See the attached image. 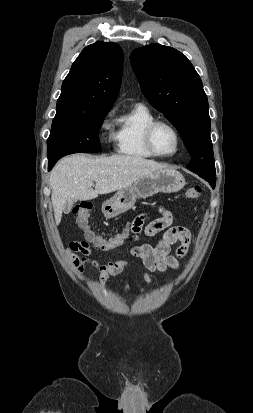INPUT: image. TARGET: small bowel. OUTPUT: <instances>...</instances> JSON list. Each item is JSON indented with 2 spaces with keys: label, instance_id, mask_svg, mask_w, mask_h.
Wrapping results in <instances>:
<instances>
[{
  "label": "small bowel",
  "instance_id": "1",
  "mask_svg": "<svg viewBox=\"0 0 253 413\" xmlns=\"http://www.w3.org/2000/svg\"><path fill=\"white\" fill-rule=\"evenodd\" d=\"M172 222V213L165 208H160V217L152 220L146 226H144V214L137 216L131 225V232L135 238H138L142 231L148 237H153L163 232L156 245L139 244L131 250V254L142 261L146 269L144 278L147 282L151 280L150 273L164 272L169 268L178 269L180 259L188 252L191 242L189 230L182 226H171ZM175 243H179V246L175 254L172 255L171 246ZM77 252L83 256H77L75 254ZM65 253L75 272H83L88 265L93 266L98 271L97 286H103L109 277L120 274L128 265L125 260H117L106 265H100L90 258L92 250L88 243L84 241L70 243Z\"/></svg>",
  "mask_w": 253,
  "mask_h": 413
}]
</instances>
